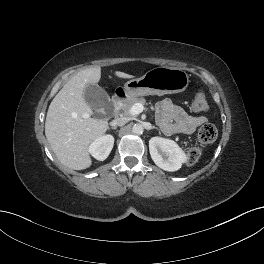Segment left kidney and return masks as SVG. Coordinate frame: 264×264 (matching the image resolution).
Masks as SVG:
<instances>
[{
	"label": "left kidney",
	"instance_id": "1",
	"mask_svg": "<svg viewBox=\"0 0 264 264\" xmlns=\"http://www.w3.org/2000/svg\"><path fill=\"white\" fill-rule=\"evenodd\" d=\"M149 151L154 163L165 171L179 170L187 160L184 151L173 140L162 137L149 140Z\"/></svg>",
	"mask_w": 264,
	"mask_h": 264
}]
</instances>
